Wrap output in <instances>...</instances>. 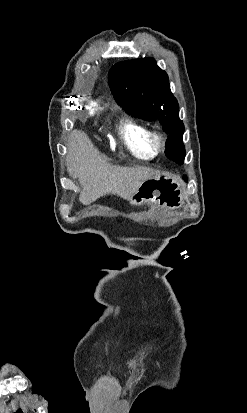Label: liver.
<instances>
[{
  "instance_id": "obj_1",
  "label": "liver",
  "mask_w": 247,
  "mask_h": 413,
  "mask_svg": "<svg viewBox=\"0 0 247 413\" xmlns=\"http://www.w3.org/2000/svg\"><path fill=\"white\" fill-rule=\"evenodd\" d=\"M67 170L72 178H78L82 190L79 200L91 204L104 194H117L131 198L141 182L158 176L159 170L149 166H115L100 154L84 130H72L68 140Z\"/></svg>"
}]
</instances>
